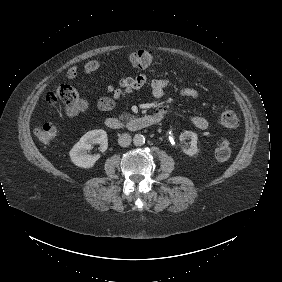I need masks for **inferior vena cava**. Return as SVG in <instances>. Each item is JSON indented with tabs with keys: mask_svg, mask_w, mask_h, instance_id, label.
<instances>
[{
	"mask_svg": "<svg viewBox=\"0 0 282 282\" xmlns=\"http://www.w3.org/2000/svg\"><path fill=\"white\" fill-rule=\"evenodd\" d=\"M131 143V136L127 133H123L118 137V144L121 147H128Z\"/></svg>",
	"mask_w": 282,
	"mask_h": 282,
	"instance_id": "obj_1",
	"label": "inferior vena cava"
}]
</instances>
